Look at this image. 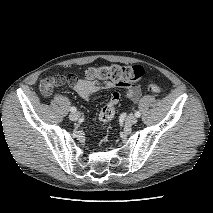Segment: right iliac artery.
I'll use <instances>...</instances> for the list:
<instances>
[{"instance_id":"82829eb1","label":"right iliac artery","mask_w":213,"mask_h":213,"mask_svg":"<svg viewBox=\"0 0 213 213\" xmlns=\"http://www.w3.org/2000/svg\"><path fill=\"white\" fill-rule=\"evenodd\" d=\"M70 111L71 112H76V108L73 106V107L70 108Z\"/></svg>"}]
</instances>
